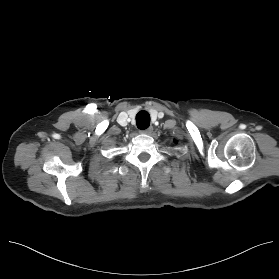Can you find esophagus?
I'll list each match as a JSON object with an SVG mask.
<instances>
[{"label": "esophagus", "mask_w": 279, "mask_h": 279, "mask_svg": "<svg viewBox=\"0 0 279 279\" xmlns=\"http://www.w3.org/2000/svg\"><path fill=\"white\" fill-rule=\"evenodd\" d=\"M141 132L144 133V134H148L149 135V134H151L153 132V127L151 126V127L147 128V129L142 130Z\"/></svg>", "instance_id": "34e87169"}]
</instances>
